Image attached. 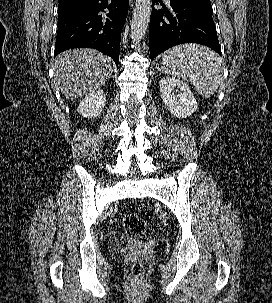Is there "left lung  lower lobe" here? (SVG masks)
I'll use <instances>...</instances> for the list:
<instances>
[{
    "label": "left lung lower lobe",
    "instance_id": "0a47b994",
    "mask_svg": "<svg viewBox=\"0 0 272 303\" xmlns=\"http://www.w3.org/2000/svg\"><path fill=\"white\" fill-rule=\"evenodd\" d=\"M162 3L153 0L149 25L151 61L159 53L182 43H200L221 55L210 2L197 0H170V9L156 10Z\"/></svg>",
    "mask_w": 272,
    "mask_h": 303
}]
</instances>
